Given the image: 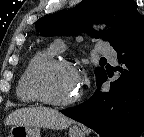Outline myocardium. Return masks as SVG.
I'll return each mask as SVG.
<instances>
[{
    "label": "myocardium",
    "mask_w": 144,
    "mask_h": 137,
    "mask_svg": "<svg viewBox=\"0 0 144 137\" xmlns=\"http://www.w3.org/2000/svg\"><path fill=\"white\" fill-rule=\"evenodd\" d=\"M60 67L70 69L77 73L76 67L71 62L63 59L50 58L43 62H40L34 67L29 77V89L31 93L34 95V97L44 104L54 107L71 106L75 104L77 101H79L81 97V91H78L77 94L69 100L58 101L48 97L41 87V79L43 74L49 70Z\"/></svg>",
    "instance_id": "1"
}]
</instances>
